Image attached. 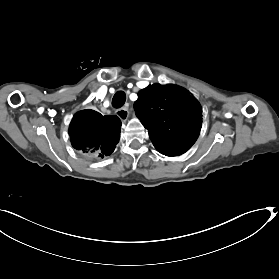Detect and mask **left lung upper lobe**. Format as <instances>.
<instances>
[{
    "label": "left lung upper lobe",
    "mask_w": 279,
    "mask_h": 279,
    "mask_svg": "<svg viewBox=\"0 0 279 279\" xmlns=\"http://www.w3.org/2000/svg\"><path fill=\"white\" fill-rule=\"evenodd\" d=\"M134 109L161 154L181 155L199 136L201 107L178 86L149 85L139 91Z\"/></svg>",
    "instance_id": "1"
}]
</instances>
